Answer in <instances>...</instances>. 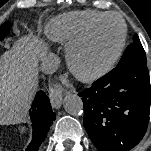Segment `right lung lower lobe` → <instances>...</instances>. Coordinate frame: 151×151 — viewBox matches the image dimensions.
Masks as SVG:
<instances>
[{"instance_id": "obj_1", "label": "right lung lower lobe", "mask_w": 151, "mask_h": 151, "mask_svg": "<svg viewBox=\"0 0 151 151\" xmlns=\"http://www.w3.org/2000/svg\"><path fill=\"white\" fill-rule=\"evenodd\" d=\"M55 118L56 115L52 111L49 98L43 91H39L31 106V120L33 126L32 141L25 151H37L39 149Z\"/></svg>"}]
</instances>
